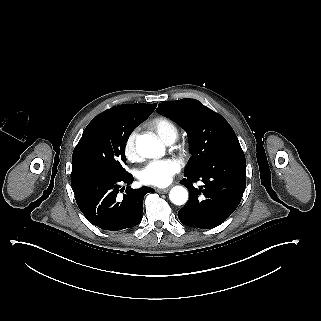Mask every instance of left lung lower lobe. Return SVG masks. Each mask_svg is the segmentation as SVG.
I'll return each mask as SVG.
<instances>
[{"label": "left lung lower lobe", "instance_id": "left-lung-lower-lobe-1", "mask_svg": "<svg viewBox=\"0 0 321 321\" xmlns=\"http://www.w3.org/2000/svg\"><path fill=\"white\" fill-rule=\"evenodd\" d=\"M180 181L190 193L178 212L186 226L210 229L222 224L238 207L246 187V160L242 149L218 154ZM201 181L196 188L193 183Z\"/></svg>", "mask_w": 321, "mask_h": 321}]
</instances>
